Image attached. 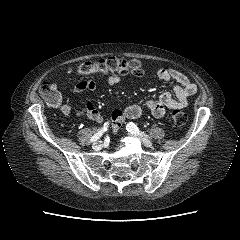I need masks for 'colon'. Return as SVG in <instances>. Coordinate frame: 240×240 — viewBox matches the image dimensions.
<instances>
[{
    "label": "colon",
    "instance_id": "obj_1",
    "mask_svg": "<svg viewBox=\"0 0 240 240\" xmlns=\"http://www.w3.org/2000/svg\"><path fill=\"white\" fill-rule=\"evenodd\" d=\"M75 75L80 77H90L94 75H116L123 76L132 74L142 76L145 68L142 63L135 59H122L108 57L97 62H85L74 70ZM40 94L46 103L51 107H59L60 97L51 83L45 82L40 86ZM187 115L181 109H174L170 114L173 125L179 127L185 124Z\"/></svg>",
    "mask_w": 240,
    "mask_h": 240
}]
</instances>
